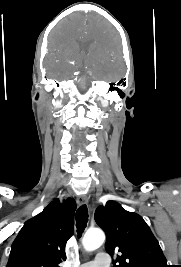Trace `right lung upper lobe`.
Instances as JSON below:
<instances>
[{
  "label": "right lung upper lobe",
  "mask_w": 181,
  "mask_h": 267,
  "mask_svg": "<svg viewBox=\"0 0 181 267\" xmlns=\"http://www.w3.org/2000/svg\"><path fill=\"white\" fill-rule=\"evenodd\" d=\"M76 203L52 201L37 216L25 222L12 244L6 267H59L65 260V245L74 231Z\"/></svg>",
  "instance_id": "right-lung-upper-lobe-1"
}]
</instances>
